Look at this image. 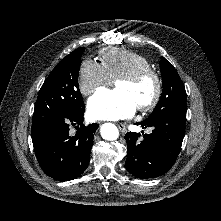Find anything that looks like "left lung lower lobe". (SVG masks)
Returning a JSON list of instances; mask_svg holds the SVG:
<instances>
[{
	"label": "left lung lower lobe",
	"instance_id": "0a47b994",
	"mask_svg": "<svg viewBox=\"0 0 221 221\" xmlns=\"http://www.w3.org/2000/svg\"><path fill=\"white\" fill-rule=\"evenodd\" d=\"M186 111H174L153 120H144L142 128L152 127L151 134L129 132L127 142V170L137 178H154L165 174L174 164L185 133Z\"/></svg>",
	"mask_w": 221,
	"mask_h": 221
}]
</instances>
